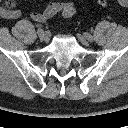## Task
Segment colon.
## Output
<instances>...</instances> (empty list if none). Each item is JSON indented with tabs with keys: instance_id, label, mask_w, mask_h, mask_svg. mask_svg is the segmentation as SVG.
<instances>
[{
	"instance_id": "5ec220e1",
	"label": "colon",
	"mask_w": 128,
	"mask_h": 128,
	"mask_svg": "<svg viewBox=\"0 0 128 128\" xmlns=\"http://www.w3.org/2000/svg\"><path fill=\"white\" fill-rule=\"evenodd\" d=\"M100 5L106 6L109 3V0H96ZM1 2H4L5 6L8 8H13L15 6L14 0H0V5ZM119 3L122 6L128 7V0H119ZM3 6V5H2ZM75 6L73 4H67L64 6L62 10V15L66 18L72 17L75 14Z\"/></svg>"
}]
</instances>
